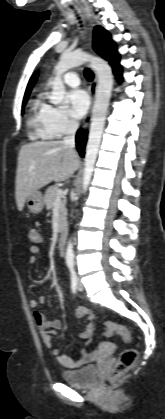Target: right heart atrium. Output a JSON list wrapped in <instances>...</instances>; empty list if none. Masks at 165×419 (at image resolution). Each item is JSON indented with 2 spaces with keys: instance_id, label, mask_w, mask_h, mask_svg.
<instances>
[{
  "instance_id": "d8ad5b80",
  "label": "right heart atrium",
  "mask_w": 165,
  "mask_h": 419,
  "mask_svg": "<svg viewBox=\"0 0 165 419\" xmlns=\"http://www.w3.org/2000/svg\"><path fill=\"white\" fill-rule=\"evenodd\" d=\"M48 121L54 137H61L77 127V121L61 108L50 107Z\"/></svg>"
}]
</instances>
